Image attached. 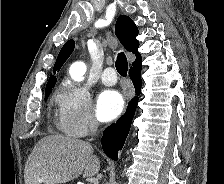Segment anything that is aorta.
I'll return each mask as SVG.
<instances>
[{"label":"aorta","mask_w":224,"mask_h":184,"mask_svg":"<svg viewBox=\"0 0 224 184\" xmlns=\"http://www.w3.org/2000/svg\"><path fill=\"white\" fill-rule=\"evenodd\" d=\"M86 72V65L83 62L74 63L69 70L70 76L75 81L83 80V75Z\"/></svg>","instance_id":"1"}]
</instances>
